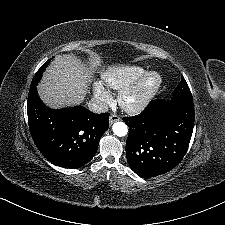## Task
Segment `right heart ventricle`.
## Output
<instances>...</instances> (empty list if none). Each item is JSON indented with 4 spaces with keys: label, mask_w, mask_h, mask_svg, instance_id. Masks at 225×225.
Segmentation results:
<instances>
[{
    "label": "right heart ventricle",
    "mask_w": 225,
    "mask_h": 225,
    "mask_svg": "<svg viewBox=\"0 0 225 225\" xmlns=\"http://www.w3.org/2000/svg\"><path fill=\"white\" fill-rule=\"evenodd\" d=\"M140 67H110L102 75L105 84L111 89L122 91L132 86L142 75Z\"/></svg>",
    "instance_id": "1"
}]
</instances>
